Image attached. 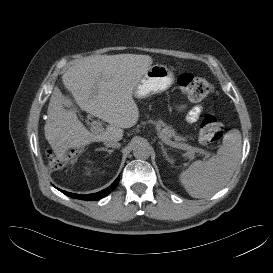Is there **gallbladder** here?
<instances>
[{"mask_svg": "<svg viewBox=\"0 0 273 273\" xmlns=\"http://www.w3.org/2000/svg\"><path fill=\"white\" fill-rule=\"evenodd\" d=\"M67 105H68V107H69V109H70V111H72V114H73V116H75V117H77V116H79V111H78V109H76V107H75V105L73 104V100H72V98H67Z\"/></svg>", "mask_w": 273, "mask_h": 273, "instance_id": "obj_1", "label": "gallbladder"}]
</instances>
